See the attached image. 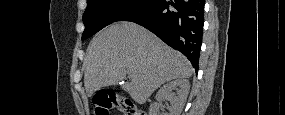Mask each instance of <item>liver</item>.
Here are the masks:
<instances>
[{"label": "liver", "mask_w": 285, "mask_h": 115, "mask_svg": "<svg viewBox=\"0 0 285 115\" xmlns=\"http://www.w3.org/2000/svg\"><path fill=\"white\" fill-rule=\"evenodd\" d=\"M88 96L102 87L122 85L133 100L143 104L162 84L193 74L190 62L158 37L132 22L109 25L90 42L84 61Z\"/></svg>", "instance_id": "liver-1"}]
</instances>
